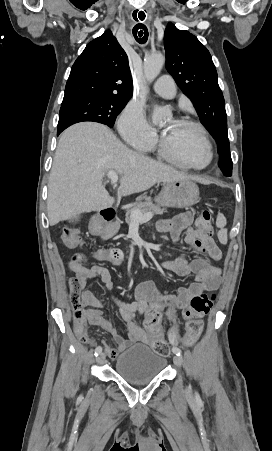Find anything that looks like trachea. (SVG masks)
I'll list each match as a JSON object with an SVG mask.
<instances>
[{"instance_id": "obj_1", "label": "trachea", "mask_w": 272, "mask_h": 451, "mask_svg": "<svg viewBox=\"0 0 272 451\" xmlns=\"http://www.w3.org/2000/svg\"><path fill=\"white\" fill-rule=\"evenodd\" d=\"M138 21V19H136ZM138 30H143L142 33H138ZM133 36L137 40L138 43H146L148 40V30L143 24H137L133 28Z\"/></svg>"}]
</instances>
